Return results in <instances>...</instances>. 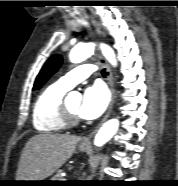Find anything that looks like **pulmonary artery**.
<instances>
[{"instance_id": "pulmonary-artery-1", "label": "pulmonary artery", "mask_w": 178, "mask_h": 186, "mask_svg": "<svg viewBox=\"0 0 178 186\" xmlns=\"http://www.w3.org/2000/svg\"><path fill=\"white\" fill-rule=\"evenodd\" d=\"M97 70V67L92 64H82L77 66L75 69L62 76L58 83L66 89H71L77 83L89 77L92 73Z\"/></svg>"}]
</instances>
